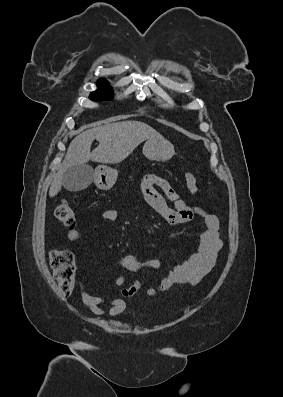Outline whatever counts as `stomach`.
Returning a JSON list of instances; mask_svg holds the SVG:
<instances>
[{"instance_id": "obj_1", "label": "stomach", "mask_w": 283, "mask_h": 397, "mask_svg": "<svg viewBox=\"0 0 283 397\" xmlns=\"http://www.w3.org/2000/svg\"><path fill=\"white\" fill-rule=\"evenodd\" d=\"M173 144L162 139H149L143 146V154L153 161H167L174 155ZM118 172L106 165H100L95 169L94 182L99 189L109 190L117 180Z\"/></svg>"}]
</instances>
